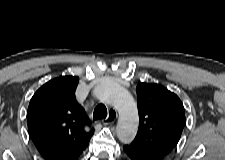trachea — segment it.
Masks as SVG:
<instances>
[{
	"label": "trachea",
	"mask_w": 225,
	"mask_h": 160,
	"mask_svg": "<svg viewBox=\"0 0 225 160\" xmlns=\"http://www.w3.org/2000/svg\"><path fill=\"white\" fill-rule=\"evenodd\" d=\"M107 117V108L104 104H98L93 112V119H105Z\"/></svg>",
	"instance_id": "1"
}]
</instances>
